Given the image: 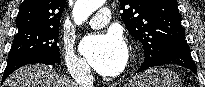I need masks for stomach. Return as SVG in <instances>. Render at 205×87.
<instances>
[{
  "label": "stomach",
  "instance_id": "obj_1",
  "mask_svg": "<svg viewBox=\"0 0 205 87\" xmlns=\"http://www.w3.org/2000/svg\"><path fill=\"white\" fill-rule=\"evenodd\" d=\"M126 87H181V80L174 72L155 67L135 75Z\"/></svg>",
  "mask_w": 205,
  "mask_h": 87
}]
</instances>
